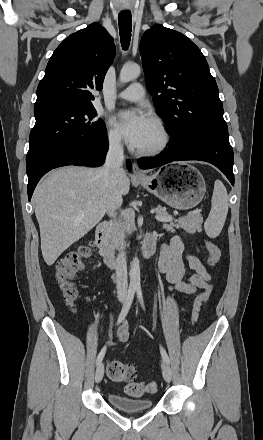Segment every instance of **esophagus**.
Instances as JSON below:
<instances>
[{
  "label": "esophagus",
  "instance_id": "esophagus-1",
  "mask_svg": "<svg viewBox=\"0 0 263 440\" xmlns=\"http://www.w3.org/2000/svg\"><path fill=\"white\" fill-rule=\"evenodd\" d=\"M132 176L134 178H142L144 177V173L139 169L136 163L133 164Z\"/></svg>",
  "mask_w": 263,
  "mask_h": 440
}]
</instances>
